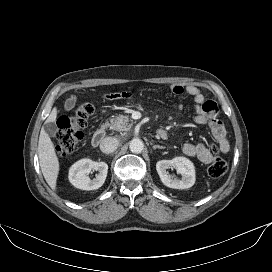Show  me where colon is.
I'll list each match as a JSON object with an SVG mask.
<instances>
[{
  "label": "colon",
  "instance_id": "5ec220e1",
  "mask_svg": "<svg viewBox=\"0 0 272 272\" xmlns=\"http://www.w3.org/2000/svg\"><path fill=\"white\" fill-rule=\"evenodd\" d=\"M94 111L92 102L80 103L69 116H61L57 122V134L54 142L55 151L59 156L72 154L83 137L82 130L88 117ZM215 156L209 166V174L213 178L223 176L228 169L227 162L219 156L217 147H213Z\"/></svg>",
  "mask_w": 272,
  "mask_h": 272
}]
</instances>
